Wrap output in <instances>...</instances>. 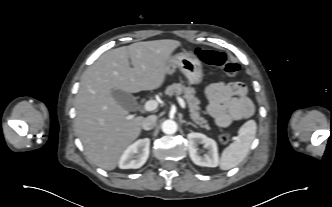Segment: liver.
<instances>
[{"label":"liver","instance_id":"1","mask_svg":"<svg viewBox=\"0 0 332 207\" xmlns=\"http://www.w3.org/2000/svg\"><path fill=\"white\" fill-rule=\"evenodd\" d=\"M180 45L171 39L133 43L105 52L85 70L75 100V131L93 164L115 169L141 132L144 117L130 118L112 91L137 93L161 87L171 54Z\"/></svg>","mask_w":332,"mask_h":207}]
</instances>
